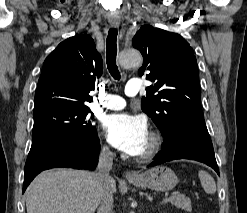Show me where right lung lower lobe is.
Returning a JSON list of instances; mask_svg holds the SVG:
<instances>
[{"instance_id": "1", "label": "right lung lower lobe", "mask_w": 247, "mask_h": 213, "mask_svg": "<svg viewBox=\"0 0 247 213\" xmlns=\"http://www.w3.org/2000/svg\"><path fill=\"white\" fill-rule=\"evenodd\" d=\"M99 139L88 144L74 134L54 136L31 146L24 171L23 192L41 171L67 167L94 169L98 163Z\"/></svg>"}]
</instances>
